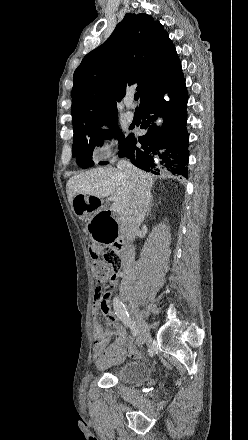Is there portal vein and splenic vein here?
<instances>
[{
	"mask_svg": "<svg viewBox=\"0 0 248 440\" xmlns=\"http://www.w3.org/2000/svg\"><path fill=\"white\" fill-rule=\"evenodd\" d=\"M111 209H112L114 212H117V213L123 211V207H122V205H121L120 203H117V202H114V203L112 204Z\"/></svg>",
	"mask_w": 248,
	"mask_h": 440,
	"instance_id": "portal-vein-and-splenic-vein-1",
	"label": "portal vein and splenic vein"
}]
</instances>
